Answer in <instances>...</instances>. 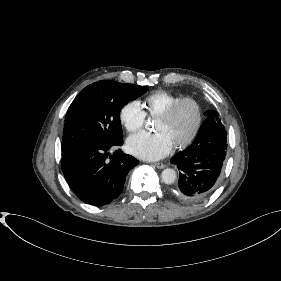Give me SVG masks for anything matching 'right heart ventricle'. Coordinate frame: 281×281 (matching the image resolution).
I'll return each instance as SVG.
<instances>
[{"instance_id": "e07e8e85", "label": "right heart ventricle", "mask_w": 281, "mask_h": 281, "mask_svg": "<svg viewBox=\"0 0 281 281\" xmlns=\"http://www.w3.org/2000/svg\"><path fill=\"white\" fill-rule=\"evenodd\" d=\"M181 97L164 90H157L145 96L139 105L144 110V113L150 117L157 116L169 105L180 99Z\"/></svg>"}]
</instances>
